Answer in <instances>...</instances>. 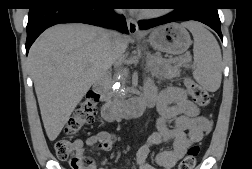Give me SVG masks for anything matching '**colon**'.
Instances as JSON below:
<instances>
[{
    "mask_svg": "<svg viewBox=\"0 0 252 169\" xmlns=\"http://www.w3.org/2000/svg\"><path fill=\"white\" fill-rule=\"evenodd\" d=\"M185 85L193 99L200 107H206L210 98L208 92L195 81L187 79ZM99 94L93 90L87 92L80 104L76 107L69 118L65 132L69 136L78 133L82 128L91 124L94 120L96 104ZM82 141L77 138H60L55 143L57 157L70 164L72 169H86L90 159L81 154ZM199 154L197 146L191 147L178 165V169H193Z\"/></svg>",
    "mask_w": 252,
    "mask_h": 169,
    "instance_id": "5ec220e1",
    "label": "colon"
}]
</instances>
